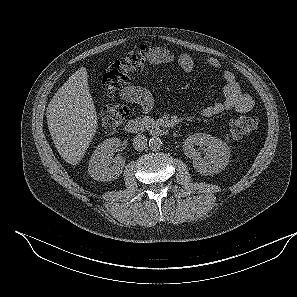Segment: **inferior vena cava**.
<instances>
[{"label": "inferior vena cava", "mask_w": 297, "mask_h": 297, "mask_svg": "<svg viewBox=\"0 0 297 297\" xmlns=\"http://www.w3.org/2000/svg\"><path fill=\"white\" fill-rule=\"evenodd\" d=\"M133 147L137 151H143L147 147V137L141 134H138L134 137Z\"/></svg>", "instance_id": "inferior-vena-cava-1"}]
</instances>
